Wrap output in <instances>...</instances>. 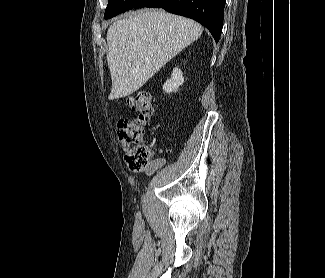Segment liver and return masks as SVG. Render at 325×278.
Returning <instances> with one entry per match:
<instances>
[{
    "mask_svg": "<svg viewBox=\"0 0 325 278\" xmlns=\"http://www.w3.org/2000/svg\"><path fill=\"white\" fill-rule=\"evenodd\" d=\"M202 26L162 9L126 14L107 31V62L112 89L109 99L139 90L177 53L197 40Z\"/></svg>",
    "mask_w": 325,
    "mask_h": 278,
    "instance_id": "1",
    "label": "liver"
}]
</instances>
